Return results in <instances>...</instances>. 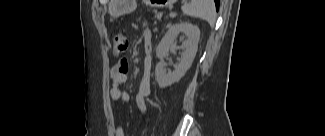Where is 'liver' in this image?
<instances>
[{
	"label": "liver",
	"mask_w": 325,
	"mask_h": 136,
	"mask_svg": "<svg viewBox=\"0 0 325 136\" xmlns=\"http://www.w3.org/2000/svg\"><path fill=\"white\" fill-rule=\"evenodd\" d=\"M109 13H110L111 15H113V14H112V1H111L110 4H109Z\"/></svg>",
	"instance_id": "6515ba94"
}]
</instances>
